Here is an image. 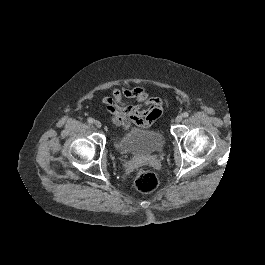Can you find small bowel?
<instances>
[{
  "mask_svg": "<svg viewBox=\"0 0 265 265\" xmlns=\"http://www.w3.org/2000/svg\"><path fill=\"white\" fill-rule=\"evenodd\" d=\"M102 103L112 122L125 129L131 125L150 127L160 117L163 108L162 99L150 97L143 86L113 88L111 96L104 97Z\"/></svg>",
  "mask_w": 265,
  "mask_h": 265,
  "instance_id": "small-bowel-1",
  "label": "small bowel"
}]
</instances>
